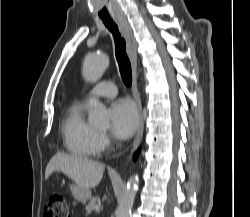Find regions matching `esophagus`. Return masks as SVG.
I'll return each mask as SVG.
<instances>
[{
  "instance_id": "esophagus-1",
  "label": "esophagus",
  "mask_w": 250,
  "mask_h": 217,
  "mask_svg": "<svg viewBox=\"0 0 250 217\" xmlns=\"http://www.w3.org/2000/svg\"><path fill=\"white\" fill-rule=\"evenodd\" d=\"M116 23L118 24L122 35L126 39L127 52L132 65V94L139 114V126L136 137L132 144L130 155L128 157V159H130L132 154L135 152V150L138 148L141 142L144 130V116L142 113V104H141L140 94L137 89V45L133 34V30L130 24L128 23L127 19L118 18L116 19Z\"/></svg>"
}]
</instances>
